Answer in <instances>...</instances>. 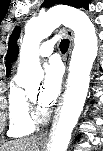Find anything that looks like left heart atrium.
<instances>
[{
  "mask_svg": "<svg viewBox=\"0 0 103 151\" xmlns=\"http://www.w3.org/2000/svg\"><path fill=\"white\" fill-rule=\"evenodd\" d=\"M62 83V71L57 62L45 66V77L38 93V102L46 110L57 98Z\"/></svg>",
  "mask_w": 103,
  "mask_h": 151,
  "instance_id": "obj_1",
  "label": "left heart atrium"
}]
</instances>
